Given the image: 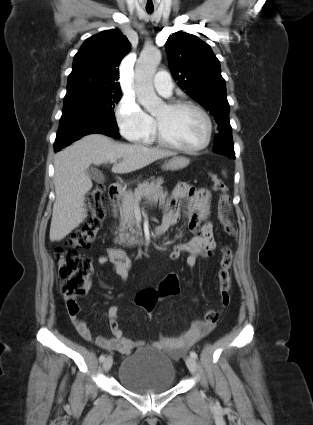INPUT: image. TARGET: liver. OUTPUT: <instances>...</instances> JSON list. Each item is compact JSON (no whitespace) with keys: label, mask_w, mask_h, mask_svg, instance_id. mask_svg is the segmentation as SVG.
I'll list each match as a JSON object with an SVG mask.
<instances>
[{"label":"liver","mask_w":313,"mask_h":425,"mask_svg":"<svg viewBox=\"0 0 313 425\" xmlns=\"http://www.w3.org/2000/svg\"><path fill=\"white\" fill-rule=\"evenodd\" d=\"M176 153L143 145L117 143L102 134H90L55 156L56 200L50 226V240L61 241L87 217L85 195L92 188L88 174L91 164L101 165L122 159L112 167L114 173H131Z\"/></svg>","instance_id":"1"}]
</instances>
